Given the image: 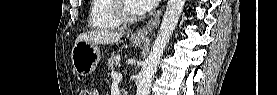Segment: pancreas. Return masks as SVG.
<instances>
[{
    "label": "pancreas",
    "instance_id": "1",
    "mask_svg": "<svg viewBox=\"0 0 277 95\" xmlns=\"http://www.w3.org/2000/svg\"><path fill=\"white\" fill-rule=\"evenodd\" d=\"M120 56L118 54H113L107 62L108 69L112 73L117 66L120 64Z\"/></svg>",
    "mask_w": 277,
    "mask_h": 95
}]
</instances>
